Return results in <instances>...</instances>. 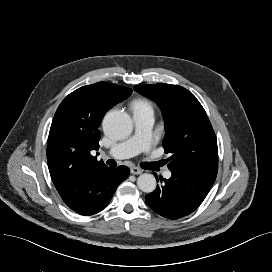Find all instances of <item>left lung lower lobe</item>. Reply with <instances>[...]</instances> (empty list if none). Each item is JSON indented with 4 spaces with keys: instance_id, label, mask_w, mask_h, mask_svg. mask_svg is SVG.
<instances>
[{
    "instance_id": "left-lung-lower-lobe-1",
    "label": "left lung lower lobe",
    "mask_w": 272,
    "mask_h": 272,
    "mask_svg": "<svg viewBox=\"0 0 272 272\" xmlns=\"http://www.w3.org/2000/svg\"><path fill=\"white\" fill-rule=\"evenodd\" d=\"M169 179L146 195L149 207L159 215L176 220L196 210L203 202L216 175L198 170L171 171Z\"/></svg>"
}]
</instances>
